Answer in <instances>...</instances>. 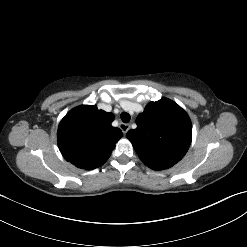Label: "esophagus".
I'll return each instance as SVG.
<instances>
[{"label": "esophagus", "instance_id": "1", "mask_svg": "<svg viewBox=\"0 0 247 247\" xmlns=\"http://www.w3.org/2000/svg\"><path fill=\"white\" fill-rule=\"evenodd\" d=\"M120 127H121V130H122V132H123L124 134H126V133L128 132V130L130 129V125H129V124H124V123H122V124L120 125Z\"/></svg>", "mask_w": 247, "mask_h": 247}]
</instances>
